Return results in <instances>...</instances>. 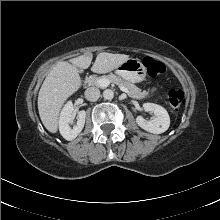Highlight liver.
<instances>
[{
    "label": "liver",
    "instance_id": "obj_1",
    "mask_svg": "<svg viewBox=\"0 0 220 220\" xmlns=\"http://www.w3.org/2000/svg\"><path fill=\"white\" fill-rule=\"evenodd\" d=\"M91 53L56 63L46 76L39 94L38 111L44 127L51 133L58 130L59 113L65 101L75 93L81 84L77 68L87 69L92 61ZM129 55L101 52L97 55L91 71L108 73L117 69Z\"/></svg>",
    "mask_w": 220,
    "mask_h": 220
}]
</instances>
